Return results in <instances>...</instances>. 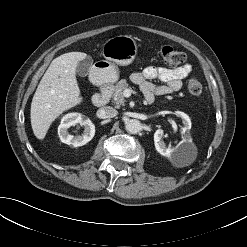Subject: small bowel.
Here are the masks:
<instances>
[{"mask_svg":"<svg viewBox=\"0 0 247 247\" xmlns=\"http://www.w3.org/2000/svg\"><path fill=\"white\" fill-rule=\"evenodd\" d=\"M192 71L190 64L176 68L149 66L143 71L132 74L131 80L137 84L144 94L146 101H154L155 96H162L178 91L182 80ZM158 79L163 85H155L151 80Z\"/></svg>","mask_w":247,"mask_h":247,"instance_id":"c3829d8e","label":"small bowel"}]
</instances>
